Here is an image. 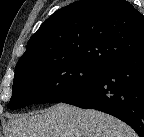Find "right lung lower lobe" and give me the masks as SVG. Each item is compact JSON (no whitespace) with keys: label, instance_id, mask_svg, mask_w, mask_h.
Instances as JSON below:
<instances>
[{"label":"right lung lower lobe","instance_id":"obj_1","mask_svg":"<svg viewBox=\"0 0 144 137\" xmlns=\"http://www.w3.org/2000/svg\"><path fill=\"white\" fill-rule=\"evenodd\" d=\"M62 102L113 115L144 137V49L111 65L101 77Z\"/></svg>","mask_w":144,"mask_h":137}]
</instances>
